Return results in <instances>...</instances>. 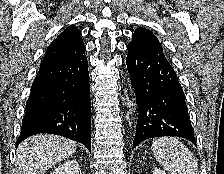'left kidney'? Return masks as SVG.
Returning <instances> with one entry per match:
<instances>
[{
	"label": "left kidney",
	"mask_w": 224,
	"mask_h": 174,
	"mask_svg": "<svg viewBox=\"0 0 224 174\" xmlns=\"http://www.w3.org/2000/svg\"><path fill=\"white\" fill-rule=\"evenodd\" d=\"M153 174H166V173L160 169L155 168Z\"/></svg>",
	"instance_id": "1"
}]
</instances>
